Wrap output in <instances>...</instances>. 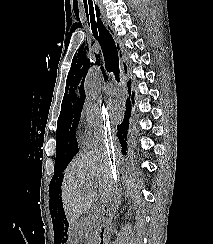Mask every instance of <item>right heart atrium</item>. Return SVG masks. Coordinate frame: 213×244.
Returning <instances> with one entry per match:
<instances>
[{
	"mask_svg": "<svg viewBox=\"0 0 213 244\" xmlns=\"http://www.w3.org/2000/svg\"><path fill=\"white\" fill-rule=\"evenodd\" d=\"M80 121L83 127L82 142L86 145L102 143L112 131L103 108L97 103H84Z\"/></svg>",
	"mask_w": 213,
	"mask_h": 244,
	"instance_id": "right-heart-atrium-1",
	"label": "right heart atrium"
}]
</instances>
